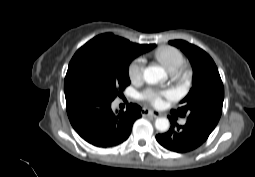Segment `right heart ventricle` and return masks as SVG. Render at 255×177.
<instances>
[{
	"instance_id": "right-heart-ventricle-1",
	"label": "right heart ventricle",
	"mask_w": 255,
	"mask_h": 177,
	"mask_svg": "<svg viewBox=\"0 0 255 177\" xmlns=\"http://www.w3.org/2000/svg\"><path fill=\"white\" fill-rule=\"evenodd\" d=\"M154 57L174 75L185 64V57L181 50L174 46H162L154 52Z\"/></svg>"
}]
</instances>
